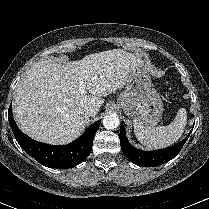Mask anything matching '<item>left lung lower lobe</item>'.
<instances>
[{"label":"left lung lower lobe","mask_w":209,"mask_h":209,"mask_svg":"<svg viewBox=\"0 0 209 209\" xmlns=\"http://www.w3.org/2000/svg\"><path fill=\"white\" fill-rule=\"evenodd\" d=\"M119 136L123 153L130 161L140 167H155L175 158L189 137L188 135L184 140L174 146L157 151L145 152L130 145L126 138L125 130L122 124H120Z\"/></svg>","instance_id":"0a47b994"}]
</instances>
